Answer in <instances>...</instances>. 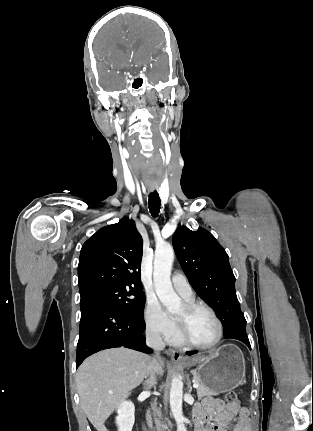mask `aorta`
<instances>
[{
    "mask_svg": "<svg viewBox=\"0 0 313 431\" xmlns=\"http://www.w3.org/2000/svg\"><path fill=\"white\" fill-rule=\"evenodd\" d=\"M174 260V250L170 245H164L156 249L154 258L153 280L155 291L167 311L179 310L181 299L172 287L170 275ZM183 384L174 377L170 388V408L177 424V431H187L185 417L182 411Z\"/></svg>",
    "mask_w": 313,
    "mask_h": 431,
    "instance_id": "1",
    "label": "aorta"
}]
</instances>
